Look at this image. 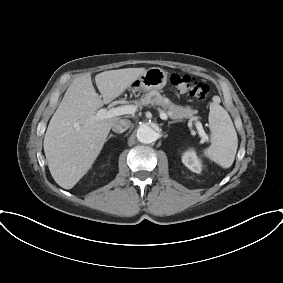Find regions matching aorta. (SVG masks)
I'll use <instances>...</instances> for the list:
<instances>
[{"label": "aorta", "instance_id": "762f6f07", "mask_svg": "<svg viewBox=\"0 0 283 283\" xmlns=\"http://www.w3.org/2000/svg\"><path fill=\"white\" fill-rule=\"evenodd\" d=\"M158 133L150 126L143 124L137 130V139L139 142L149 144L156 141Z\"/></svg>", "mask_w": 283, "mask_h": 283}]
</instances>
